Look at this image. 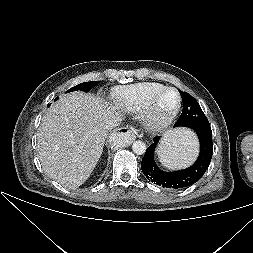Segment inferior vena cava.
Returning <instances> with one entry per match:
<instances>
[{"label":"inferior vena cava","instance_id":"602c4592","mask_svg":"<svg viewBox=\"0 0 253 253\" xmlns=\"http://www.w3.org/2000/svg\"><path fill=\"white\" fill-rule=\"evenodd\" d=\"M122 121V117L121 116H115L113 117V119L110 120L109 124H108V129H111L113 127L119 126L120 123Z\"/></svg>","mask_w":253,"mask_h":253}]
</instances>
